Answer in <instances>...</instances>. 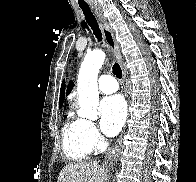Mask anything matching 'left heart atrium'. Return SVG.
I'll use <instances>...</instances> for the list:
<instances>
[{
  "label": "left heart atrium",
  "instance_id": "left-heart-atrium-1",
  "mask_svg": "<svg viewBox=\"0 0 196 182\" xmlns=\"http://www.w3.org/2000/svg\"><path fill=\"white\" fill-rule=\"evenodd\" d=\"M126 114V105L120 95L103 98L100 102L102 131L108 136L116 135L124 125Z\"/></svg>",
  "mask_w": 196,
  "mask_h": 182
}]
</instances>
